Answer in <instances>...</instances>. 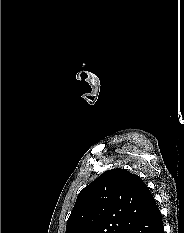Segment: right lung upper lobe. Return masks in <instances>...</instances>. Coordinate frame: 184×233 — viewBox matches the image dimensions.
Returning a JSON list of instances; mask_svg holds the SVG:
<instances>
[{
    "label": "right lung upper lobe",
    "mask_w": 184,
    "mask_h": 233,
    "mask_svg": "<svg viewBox=\"0 0 184 233\" xmlns=\"http://www.w3.org/2000/svg\"><path fill=\"white\" fill-rule=\"evenodd\" d=\"M156 206L138 175L115 168L78 194L65 233H127Z\"/></svg>",
    "instance_id": "cb5924a9"
}]
</instances>
